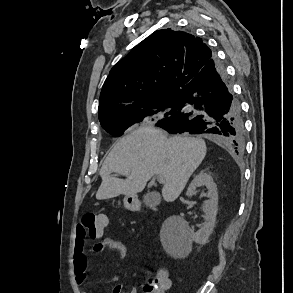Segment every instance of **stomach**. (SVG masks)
<instances>
[{"label": "stomach", "instance_id": "0dacf381", "mask_svg": "<svg viewBox=\"0 0 293 293\" xmlns=\"http://www.w3.org/2000/svg\"><path fill=\"white\" fill-rule=\"evenodd\" d=\"M124 205L128 209L133 208L135 206V200H134V198H131L129 196L125 197V199H124Z\"/></svg>", "mask_w": 293, "mask_h": 293}]
</instances>
